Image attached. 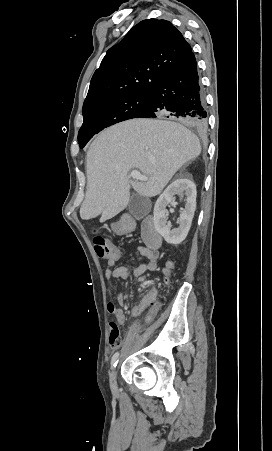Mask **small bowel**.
Here are the masks:
<instances>
[{
	"label": "small bowel",
	"mask_w": 272,
	"mask_h": 451,
	"mask_svg": "<svg viewBox=\"0 0 272 451\" xmlns=\"http://www.w3.org/2000/svg\"><path fill=\"white\" fill-rule=\"evenodd\" d=\"M141 254L147 259L145 262L147 264V272H153L156 271L159 267L160 262V255L157 250L151 249L147 246H142L139 248ZM120 259V255H115L107 259L108 268L105 271V279L109 285L110 293L114 291L113 288V282L116 279H129L132 281L137 280L144 274H133L132 270H130L126 266H120L118 270H113L111 268V263L113 261H118ZM143 264V263H142ZM140 264V265H142ZM149 297V295H148ZM126 299L125 296L122 293H119L116 295V301H110L106 305V309L108 313L113 315L117 321L118 324L123 325L126 322V316L123 310V307L125 306ZM133 314H139V312L136 309H133Z\"/></svg>",
	"instance_id": "1"
}]
</instances>
